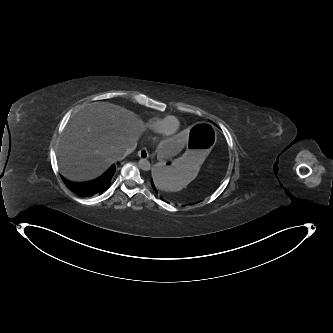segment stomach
<instances>
[{"instance_id":"stomach-1","label":"stomach","mask_w":333,"mask_h":333,"mask_svg":"<svg viewBox=\"0 0 333 333\" xmlns=\"http://www.w3.org/2000/svg\"><path fill=\"white\" fill-rule=\"evenodd\" d=\"M214 127L199 122L191 129L187 151L178 159L170 162L158 161L150 169L155 186L165 192L184 188L198 174L200 165L211 152L217 141Z\"/></svg>"}]
</instances>
